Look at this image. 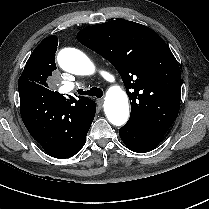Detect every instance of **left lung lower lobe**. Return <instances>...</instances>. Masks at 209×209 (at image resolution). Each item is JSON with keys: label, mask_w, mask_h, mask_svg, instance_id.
Returning <instances> with one entry per match:
<instances>
[{"label": "left lung lower lobe", "mask_w": 209, "mask_h": 209, "mask_svg": "<svg viewBox=\"0 0 209 209\" xmlns=\"http://www.w3.org/2000/svg\"><path fill=\"white\" fill-rule=\"evenodd\" d=\"M124 144L132 151L145 153L153 150L162 140V136L156 135L135 122H127L119 130Z\"/></svg>", "instance_id": "obj_1"}]
</instances>
